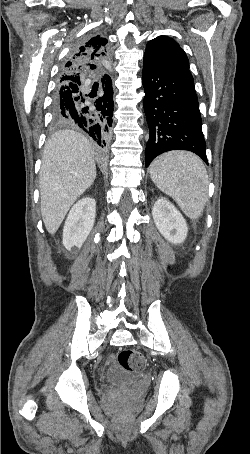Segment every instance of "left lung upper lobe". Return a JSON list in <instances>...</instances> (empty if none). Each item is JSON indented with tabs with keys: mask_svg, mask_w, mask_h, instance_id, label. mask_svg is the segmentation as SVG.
<instances>
[{
	"mask_svg": "<svg viewBox=\"0 0 250 454\" xmlns=\"http://www.w3.org/2000/svg\"><path fill=\"white\" fill-rule=\"evenodd\" d=\"M144 56L168 67L189 69V60L179 44L167 36L150 40Z\"/></svg>",
	"mask_w": 250,
	"mask_h": 454,
	"instance_id": "1",
	"label": "left lung upper lobe"
}]
</instances>
